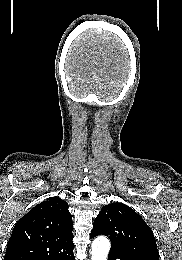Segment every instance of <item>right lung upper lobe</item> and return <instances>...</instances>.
Returning <instances> with one entry per match:
<instances>
[{"instance_id":"right-lung-upper-lobe-1","label":"right lung upper lobe","mask_w":182,"mask_h":260,"mask_svg":"<svg viewBox=\"0 0 182 260\" xmlns=\"http://www.w3.org/2000/svg\"><path fill=\"white\" fill-rule=\"evenodd\" d=\"M72 217L60 198L41 202L15 225L4 260H44L74 248Z\"/></svg>"}]
</instances>
